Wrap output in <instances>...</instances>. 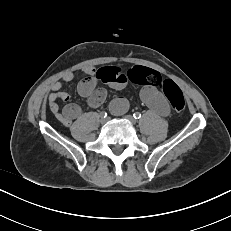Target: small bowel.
<instances>
[{"label": "small bowel", "mask_w": 231, "mask_h": 231, "mask_svg": "<svg viewBox=\"0 0 231 231\" xmlns=\"http://www.w3.org/2000/svg\"><path fill=\"white\" fill-rule=\"evenodd\" d=\"M85 76L78 83V93L87 100L90 107H99L106 99L107 93L103 88H99V83H106L116 90H123L129 81L126 72L117 67H103L85 69ZM74 79L72 72L64 73L61 78L51 85L52 92L48 96L49 109L55 118L64 126L70 127L74 120L80 117L81 108L74 103H68L70 95L63 91L64 82ZM140 98L143 103L161 116H167L170 112L169 104L162 92L154 86H144L140 90ZM59 100L67 103L60 109ZM112 113L121 115L128 109V102L124 98H118L111 102Z\"/></svg>", "instance_id": "1"}]
</instances>
